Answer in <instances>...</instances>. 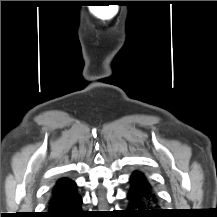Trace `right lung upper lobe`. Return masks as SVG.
Wrapping results in <instances>:
<instances>
[{
	"mask_svg": "<svg viewBox=\"0 0 217 217\" xmlns=\"http://www.w3.org/2000/svg\"><path fill=\"white\" fill-rule=\"evenodd\" d=\"M76 184L74 181H72L71 179L68 178H63V179H59L55 186L52 189V195L67 191L73 187H75Z\"/></svg>",
	"mask_w": 217,
	"mask_h": 217,
	"instance_id": "obj_1",
	"label": "right lung upper lobe"
}]
</instances>
